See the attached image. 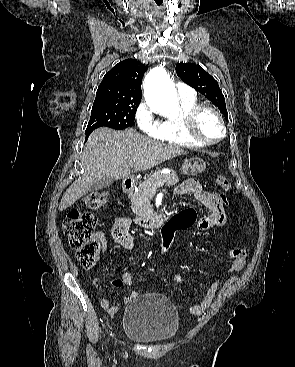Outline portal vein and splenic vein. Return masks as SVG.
Wrapping results in <instances>:
<instances>
[{"label":"portal vein and splenic vein","instance_id":"obj_1","mask_svg":"<svg viewBox=\"0 0 295 367\" xmlns=\"http://www.w3.org/2000/svg\"><path fill=\"white\" fill-rule=\"evenodd\" d=\"M165 184V181H160V182H157L153 185L152 187V192H155L156 188L160 187V186H163Z\"/></svg>","mask_w":295,"mask_h":367}]
</instances>
